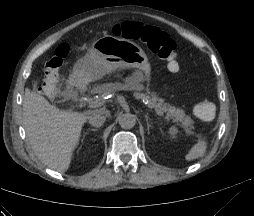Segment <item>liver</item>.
Segmentation results:
<instances>
[{
    "label": "liver",
    "mask_w": 254,
    "mask_h": 216,
    "mask_svg": "<svg viewBox=\"0 0 254 216\" xmlns=\"http://www.w3.org/2000/svg\"><path fill=\"white\" fill-rule=\"evenodd\" d=\"M112 68L113 65H107L105 70ZM98 112L104 111L80 113L60 110L29 89L23 99V122L29 143L42 163L59 172L69 169L83 125L89 116Z\"/></svg>",
    "instance_id": "obj_1"
}]
</instances>
